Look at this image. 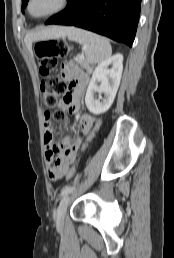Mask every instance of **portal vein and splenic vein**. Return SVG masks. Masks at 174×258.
Here are the masks:
<instances>
[{
  "instance_id": "1",
  "label": "portal vein and splenic vein",
  "mask_w": 174,
  "mask_h": 258,
  "mask_svg": "<svg viewBox=\"0 0 174 258\" xmlns=\"http://www.w3.org/2000/svg\"><path fill=\"white\" fill-rule=\"evenodd\" d=\"M79 58H80V59H84V55H80Z\"/></svg>"
}]
</instances>
